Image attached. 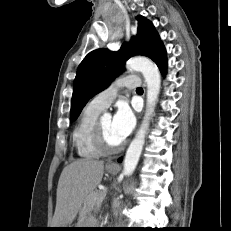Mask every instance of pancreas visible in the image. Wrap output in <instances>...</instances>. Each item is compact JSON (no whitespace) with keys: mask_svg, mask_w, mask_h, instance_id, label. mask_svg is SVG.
<instances>
[{"mask_svg":"<svg viewBox=\"0 0 231 231\" xmlns=\"http://www.w3.org/2000/svg\"><path fill=\"white\" fill-rule=\"evenodd\" d=\"M105 198V192L101 190H95L89 196L86 200V205L88 207H93L100 205L103 199Z\"/></svg>","mask_w":231,"mask_h":231,"instance_id":"cf45deb5","label":"pancreas"}]
</instances>
